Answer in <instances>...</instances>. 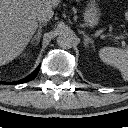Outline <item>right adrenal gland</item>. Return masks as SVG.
Returning a JSON list of instances; mask_svg holds the SVG:
<instances>
[{"mask_svg":"<svg viewBox=\"0 0 128 128\" xmlns=\"http://www.w3.org/2000/svg\"><path fill=\"white\" fill-rule=\"evenodd\" d=\"M45 25H46L45 23L39 25L37 33L32 38V41H31L32 44L36 41V45H38V43L40 41V38H41L42 27L45 26Z\"/></svg>","mask_w":128,"mask_h":128,"instance_id":"obj_1","label":"right adrenal gland"}]
</instances>
